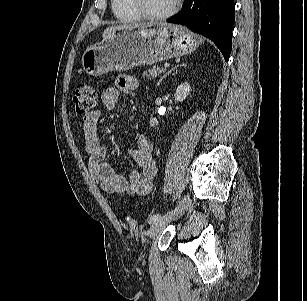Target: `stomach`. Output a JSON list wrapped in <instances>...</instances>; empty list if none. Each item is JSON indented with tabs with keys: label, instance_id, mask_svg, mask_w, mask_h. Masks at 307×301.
Masks as SVG:
<instances>
[{
	"label": "stomach",
	"instance_id": "obj_1",
	"mask_svg": "<svg viewBox=\"0 0 307 301\" xmlns=\"http://www.w3.org/2000/svg\"><path fill=\"white\" fill-rule=\"evenodd\" d=\"M201 43L199 36L180 25L127 27L112 31L100 43L88 47L81 64L88 75L101 76L189 54Z\"/></svg>",
	"mask_w": 307,
	"mask_h": 301
}]
</instances>
